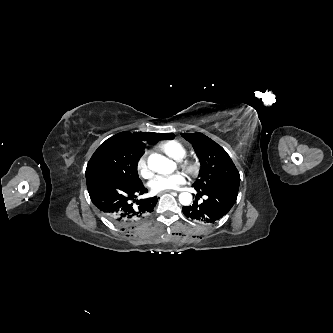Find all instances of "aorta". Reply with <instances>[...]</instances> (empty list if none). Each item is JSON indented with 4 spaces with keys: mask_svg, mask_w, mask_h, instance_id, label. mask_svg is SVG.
Returning a JSON list of instances; mask_svg holds the SVG:
<instances>
[{
    "mask_svg": "<svg viewBox=\"0 0 333 333\" xmlns=\"http://www.w3.org/2000/svg\"><path fill=\"white\" fill-rule=\"evenodd\" d=\"M148 166L159 174H170L175 170L176 163L162 155L152 154L148 159ZM179 201L182 205L187 206L192 201V195L188 192H183L179 195Z\"/></svg>",
    "mask_w": 333,
    "mask_h": 333,
    "instance_id": "aorta-1",
    "label": "aorta"
}]
</instances>
